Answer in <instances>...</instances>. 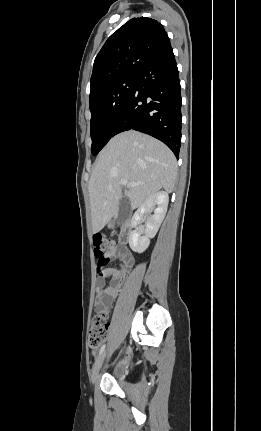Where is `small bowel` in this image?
<instances>
[{
    "instance_id": "c3829d8e",
    "label": "small bowel",
    "mask_w": 261,
    "mask_h": 431,
    "mask_svg": "<svg viewBox=\"0 0 261 431\" xmlns=\"http://www.w3.org/2000/svg\"><path fill=\"white\" fill-rule=\"evenodd\" d=\"M112 256H116L121 261L123 268H104L103 274L98 275L96 281V299L94 309L98 313H107L112 305L113 299L117 296L125 277L126 271L130 268L134 259L130 252L125 248L115 246ZM110 277V285H106V278Z\"/></svg>"
}]
</instances>
